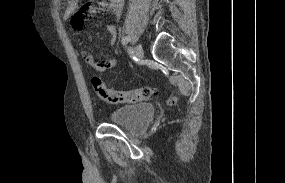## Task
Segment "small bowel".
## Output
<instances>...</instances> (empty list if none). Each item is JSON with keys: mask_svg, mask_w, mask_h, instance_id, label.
<instances>
[{"mask_svg": "<svg viewBox=\"0 0 285 183\" xmlns=\"http://www.w3.org/2000/svg\"><path fill=\"white\" fill-rule=\"evenodd\" d=\"M123 6L124 0H96L94 3L84 4H80V0H68L65 3L62 18L69 21L75 31H80L88 19L101 14L110 13L114 15L116 19H119ZM77 9H79V11H76ZM107 30L111 37L110 45L114 46L117 37V26L111 24L107 27ZM82 56L86 65L99 73H105L111 70L118 63L115 57L97 60L92 54L86 51L82 53Z\"/></svg>", "mask_w": 285, "mask_h": 183, "instance_id": "1", "label": "small bowel"}]
</instances>
